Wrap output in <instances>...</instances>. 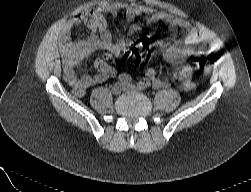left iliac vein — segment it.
<instances>
[{
	"mask_svg": "<svg viewBox=\"0 0 251 192\" xmlns=\"http://www.w3.org/2000/svg\"><path fill=\"white\" fill-rule=\"evenodd\" d=\"M123 90L124 91H141L138 86H135L134 84H123Z\"/></svg>",
	"mask_w": 251,
	"mask_h": 192,
	"instance_id": "left-iliac-vein-1",
	"label": "left iliac vein"
}]
</instances>
